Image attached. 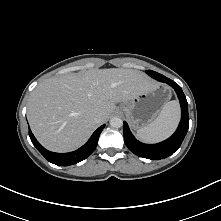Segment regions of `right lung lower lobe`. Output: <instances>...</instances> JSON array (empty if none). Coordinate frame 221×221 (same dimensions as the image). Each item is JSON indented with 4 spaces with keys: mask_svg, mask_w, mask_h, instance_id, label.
I'll return each mask as SVG.
<instances>
[{
    "mask_svg": "<svg viewBox=\"0 0 221 221\" xmlns=\"http://www.w3.org/2000/svg\"><path fill=\"white\" fill-rule=\"evenodd\" d=\"M105 125L100 126L90 137V139L80 147L78 150L70 152V153H54L46 150L43 146L39 144V142L35 139L31 130L29 129V136L33 143V145L38 149V151L48 160L49 162L59 165V166H69L76 164L88 156H90L97 144L99 136L104 129Z\"/></svg>",
    "mask_w": 221,
    "mask_h": 221,
    "instance_id": "1",
    "label": "right lung lower lobe"
}]
</instances>
